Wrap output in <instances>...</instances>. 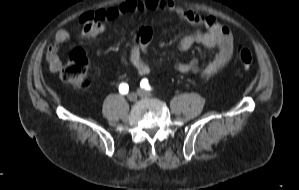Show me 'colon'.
Returning a JSON list of instances; mask_svg holds the SVG:
<instances>
[{
    "label": "colon",
    "instance_id": "colon-1",
    "mask_svg": "<svg viewBox=\"0 0 299 190\" xmlns=\"http://www.w3.org/2000/svg\"><path fill=\"white\" fill-rule=\"evenodd\" d=\"M238 60L243 67H250L253 62L252 52L247 48H241L238 52ZM59 75L63 82L74 86L76 89H87L91 79L88 72V59L84 50L74 49L69 61L60 69Z\"/></svg>",
    "mask_w": 299,
    "mask_h": 190
}]
</instances>
